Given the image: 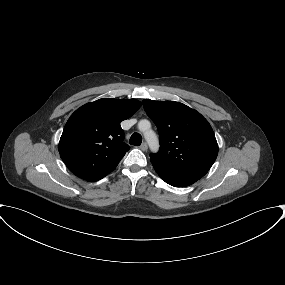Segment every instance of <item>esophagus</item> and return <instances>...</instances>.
Segmentation results:
<instances>
[{
  "label": "esophagus",
  "mask_w": 285,
  "mask_h": 285,
  "mask_svg": "<svg viewBox=\"0 0 285 285\" xmlns=\"http://www.w3.org/2000/svg\"><path fill=\"white\" fill-rule=\"evenodd\" d=\"M140 149L143 150V151H146L148 149L147 143H145V142L142 143L141 146H140Z\"/></svg>",
  "instance_id": "34e87169"
}]
</instances>
